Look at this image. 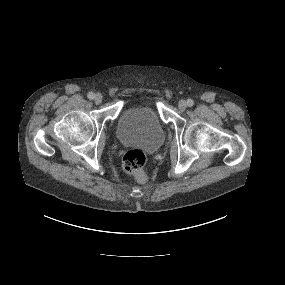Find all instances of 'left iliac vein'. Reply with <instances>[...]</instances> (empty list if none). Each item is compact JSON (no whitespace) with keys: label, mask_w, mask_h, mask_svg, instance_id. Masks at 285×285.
<instances>
[{"label":"left iliac vein","mask_w":285,"mask_h":285,"mask_svg":"<svg viewBox=\"0 0 285 285\" xmlns=\"http://www.w3.org/2000/svg\"><path fill=\"white\" fill-rule=\"evenodd\" d=\"M178 108H179L181 111H184V110L187 108V103H186V101L180 100V101L178 102Z\"/></svg>","instance_id":"left-iliac-vein-1"}]
</instances>
